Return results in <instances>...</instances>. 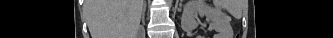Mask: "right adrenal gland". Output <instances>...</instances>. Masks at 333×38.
I'll use <instances>...</instances> for the list:
<instances>
[{
	"label": "right adrenal gland",
	"instance_id": "2a0ac1e0",
	"mask_svg": "<svg viewBox=\"0 0 333 38\" xmlns=\"http://www.w3.org/2000/svg\"><path fill=\"white\" fill-rule=\"evenodd\" d=\"M145 12H146V2H144V5H143L142 21H144V18H145Z\"/></svg>",
	"mask_w": 333,
	"mask_h": 38
}]
</instances>
